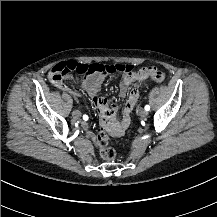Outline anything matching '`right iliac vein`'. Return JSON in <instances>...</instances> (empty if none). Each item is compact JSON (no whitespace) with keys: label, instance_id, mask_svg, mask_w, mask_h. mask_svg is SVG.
Listing matches in <instances>:
<instances>
[{"label":"right iliac vein","instance_id":"1","mask_svg":"<svg viewBox=\"0 0 217 217\" xmlns=\"http://www.w3.org/2000/svg\"><path fill=\"white\" fill-rule=\"evenodd\" d=\"M72 116H73V118L78 119L81 117V112L79 110H74L72 112Z\"/></svg>","mask_w":217,"mask_h":217}]
</instances>
